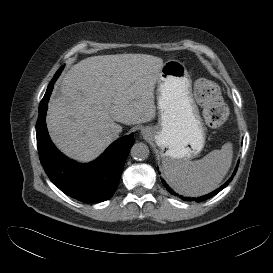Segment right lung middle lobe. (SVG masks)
Wrapping results in <instances>:
<instances>
[{"mask_svg":"<svg viewBox=\"0 0 273 273\" xmlns=\"http://www.w3.org/2000/svg\"><path fill=\"white\" fill-rule=\"evenodd\" d=\"M62 69H63V67H61V68L57 71V73L55 74V76H54V78L52 79L51 82H55V81H56V79L59 77V75H60Z\"/></svg>","mask_w":273,"mask_h":273,"instance_id":"1","label":"right lung middle lobe"}]
</instances>
